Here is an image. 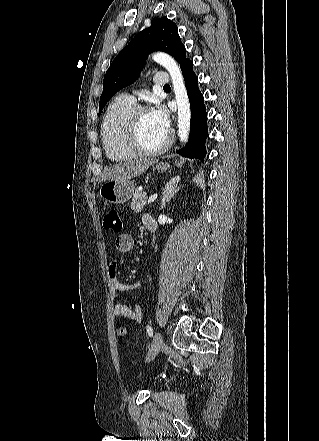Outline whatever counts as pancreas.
I'll list each match as a JSON object with an SVG mask.
<instances>
[{"mask_svg": "<svg viewBox=\"0 0 319 441\" xmlns=\"http://www.w3.org/2000/svg\"><path fill=\"white\" fill-rule=\"evenodd\" d=\"M147 202H148V198L146 192L137 188L135 190V193L133 194V199L130 204V207L135 213H139L143 210Z\"/></svg>", "mask_w": 319, "mask_h": 441, "instance_id": "cf45deb5", "label": "pancreas"}]
</instances>
